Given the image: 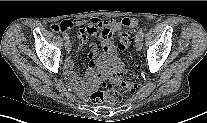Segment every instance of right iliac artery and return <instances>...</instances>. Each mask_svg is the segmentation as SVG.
<instances>
[{"instance_id":"right-iliac-artery-1","label":"right iliac artery","mask_w":207,"mask_h":123,"mask_svg":"<svg viewBox=\"0 0 207 123\" xmlns=\"http://www.w3.org/2000/svg\"><path fill=\"white\" fill-rule=\"evenodd\" d=\"M63 35H64L65 40L69 39V37L66 34H63Z\"/></svg>"}]
</instances>
